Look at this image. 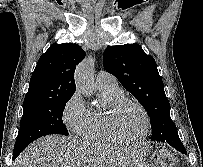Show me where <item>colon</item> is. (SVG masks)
Returning <instances> with one entry per match:
<instances>
[{
    "instance_id": "1",
    "label": "colon",
    "mask_w": 203,
    "mask_h": 167,
    "mask_svg": "<svg viewBox=\"0 0 203 167\" xmlns=\"http://www.w3.org/2000/svg\"><path fill=\"white\" fill-rule=\"evenodd\" d=\"M157 163L158 167H177L175 156L166 150H160L158 152Z\"/></svg>"
}]
</instances>
